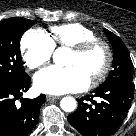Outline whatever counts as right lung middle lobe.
I'll return each instance as SVG.
<instances>
[{
  "instance_id": "1",
  "label": "right lung middle lobe",
  "mask_w": 136,
  "mask_h": 136,
  "mask_svg": "<svg viewBox=\"0 0 136 136\" xmlns=\"http://www.w3.org/2000/svg\"><path fill=\"white\" fill-rule=\"evenodd\" d=\"M35 21L10 18L0 22V87H11L28 75L20 53V39Z\"/></svg>"
}]
</instances>
